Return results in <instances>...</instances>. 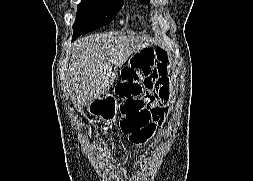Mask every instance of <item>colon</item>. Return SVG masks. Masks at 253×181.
Returning <instances> with one entry per match:
<instances>
[{"label": "colon", "instance_id": "obj_1", "mask_svg": "<svg viewBox=\"0 0 253 181\" xmlns=\"http://www.w3.org/2000/svg\"><path fill=\"white\" fill-rule=\"evenodd\" d=\"M152 59L162 63L166 53L161 49L141 48L132 64L122 71V79L116 86L121 102V129L134 144L149 141L161 122V106L157 96L150 97L144 88V77Z\"/></svg>", "mask_w": 253, "mask_h": 181}]
</instances>
